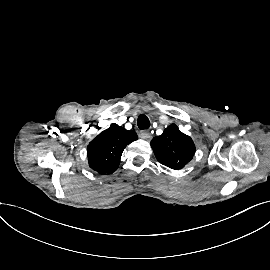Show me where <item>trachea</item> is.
Wrapping results in <instances>:
<instances>
[{"mask_svg": "<svg viewBox=\"0 0 270 270\" xmlns=\"http://www.w3.org/2000/svg\"><path fill=\"white\" fill-rule=\"evenodd\" d=\"M137 124H138L139 129L141 130L148 129L150 127V121L148 117L144 114L139 115Z\"/></svg>", "mask_w": 270, "mask_h": 270, "instance_id": "trachea-1", "label": "trachea"}]
</instances>
